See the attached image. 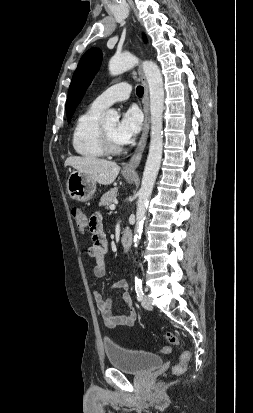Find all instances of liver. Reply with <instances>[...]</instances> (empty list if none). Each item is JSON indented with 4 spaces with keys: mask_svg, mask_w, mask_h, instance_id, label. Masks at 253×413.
<instances>
[{
    "mask_svg": "<svg viewBox=\"0 0 253 413\" xmlns=\"http://www.w3.org/2000/svg\"><path fill=\"white\" fill-rule=\"evenodd\" d=\"M64 165L65 167L71 166L77 171L85 173L89 178L102 185L113 183L120 171L117 163L90 156L68 157Z\"/></svg>",
    "mask_w": 253,
    "mask_h": 413,
    "instance_id": "1",
    "label": "liver"
}]
</instances>
